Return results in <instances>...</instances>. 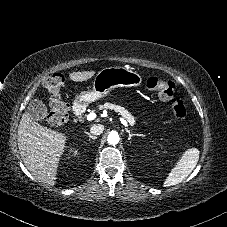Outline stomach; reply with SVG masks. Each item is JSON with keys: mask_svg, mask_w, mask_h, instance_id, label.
I'll list each match as a JSON object with an SVG mask.
<instances>
[{"mask_svg": "<svg viewBox=\"0 0 227 227\" xmlns=\"http://www.w3.org/2000/svg\"><path fill=\"white\" fill-rule=\"evenodd\" d=\"M142 77L129 67H106L98 72L90 91H83L75 97V104L86 105L106 96L117 87H138Z\"/></svg>", "mask_w": 227, "mask_h": 227, "instance_id": "obj_1", "label": "stomach"}]
</instances>
